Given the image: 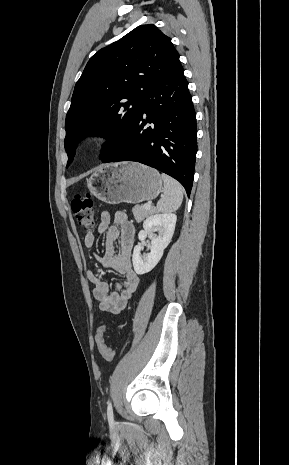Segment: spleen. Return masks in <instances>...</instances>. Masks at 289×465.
<instances>
[{
	"instance_id": "1",
	"label": "spleen",
	"mask_w": 289,
	"mask_h": 465,
	"mask_svg": "<svg viewBox=\"0 0 289 465\" xmlns=\"http://www.w3.org/2000/svg\"><path fill=\"white\" fill-rule=\"evenodd\" d=\"M164 181L163 195L157 203L158 212L170 213L176 211L182 203L184 189L182 185L172 177L162 174Z\"/></svg>"
}]
</instances>
